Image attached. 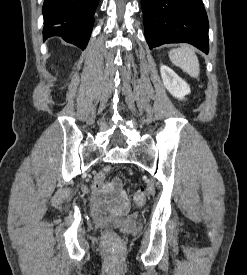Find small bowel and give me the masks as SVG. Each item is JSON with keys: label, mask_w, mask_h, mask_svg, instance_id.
<instances>
[{"label": "small bowel", "mask_w": 247, "mask_h": 275, "mask_svg": "<svg viewBox=\"0 0 247 275\" xmlns=\"http://www.w3.org/2000/svg\"><path fill=\"white\" fill-rule=\"evenodd\" d=\"M107 171L108 169H106ZM92 193L94 202L104 209L123 211L128 206L127 196L121 190L120 182L117 179L104 182L100 188L93 184Z\"/></svg>", "instance_id": "obj_1"}]
</instances>
